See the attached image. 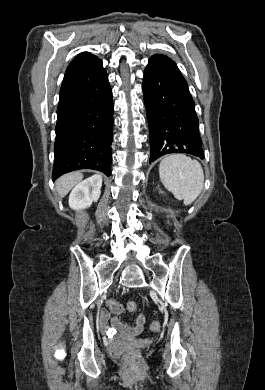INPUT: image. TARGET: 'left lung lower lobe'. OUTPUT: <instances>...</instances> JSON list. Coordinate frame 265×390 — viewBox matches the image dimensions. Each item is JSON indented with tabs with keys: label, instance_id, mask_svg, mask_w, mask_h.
I'll return each mask as SVG.
<instances>
[{
	"label": "left lung lower lobe",
	"instance_id": "0a47b994",
	"mask_svg": "<svg viewBox=\"0 0 265 390\" xmlns=\"http://www.w3.org/2000/svg\"><path fill=\"white\" fill-rule=\"evenodd\" d=\"M143 93L149 123V162L171 153L204 159L194 101L173 60L160 54L149 59Z\"/></svg>",
	"mask_w": 265,
	"mask_h": 390
}]
</instances>
